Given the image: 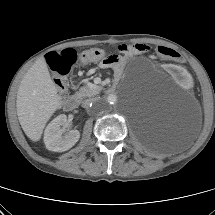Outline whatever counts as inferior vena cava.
Returning <instances> with one entry per match:
<instances>
[{
  "instance_id": "1",
  "label": "inferior vena cava",
  "mask_w": 215,
  "mask_h": 215,
  "mask_svg": "<svg viewBox=\"0 0 215 215\" xmlns=\"http://www.w3.org/2000/svg\"><path fill=\"white\" fill-rule=\"evenodd\" d=\"M92 103H93L94 105H99L98 99L92 98V99H86V100H84V101L82 102V106H83L84 108H87V107H89V105L92 104Z\"/></svg>"
}]
</instances>
